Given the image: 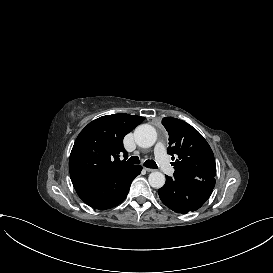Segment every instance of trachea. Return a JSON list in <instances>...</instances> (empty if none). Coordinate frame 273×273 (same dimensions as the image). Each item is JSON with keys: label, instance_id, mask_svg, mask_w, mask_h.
Listing matches in <instances>:
<instances>
[{"label": "trachea", "instance_id": "3493384b", "mask_svg": "<svg viewBox=\"0 0 273 273\" xmlns=\"http://www.w3.org/2000/svg\"><path fill=\"white\" fill-rule=\"evenodd\" d=\"M128 162L131 164H139L140 163V159L137 156H132L128 159ZM144 166L147 168H152L155 169L157 168V164L155 163L154 160H146L144 162Z\"/></svg>", "mask_w": 273, "mask_h": 273}]
</instances>
